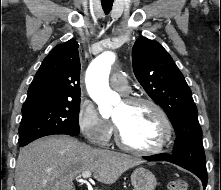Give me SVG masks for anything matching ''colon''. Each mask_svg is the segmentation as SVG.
I'll return each mask as SVG.
<instances>
[{"instance_id":"1","label":"colon","mask_w":221,"mask_h":190,"mask_svg":"<svg viewBox=\"0 0 221 190\" xmlns=\"http://www.w3.org/2000/svg\"><path fill=\"white\" fill-rule=\"evenodd\" d=\"M169 190H187L188 184L183 179L173 180L168 185Z\"/></svg>"}]
</instances>
